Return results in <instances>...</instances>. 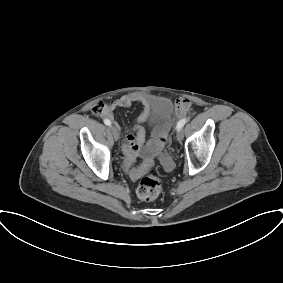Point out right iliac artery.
Here are the masks:
<instances>
[{"label":"right iliac artery","mask_w":283,"mask_h":283,"mask_svg":"<svg viewBox=\"0 0 283 283\" xmlns=\"http://www.w3.org/2000/svg\"><path fill=\"white\" fill-rule=\"evenodd\" d=\"M104 123H105L107 126H110V125H111V121L108 120V119H105V120H104Z\"/></svg>","instance_id":"obj_1"}]
</instances>
